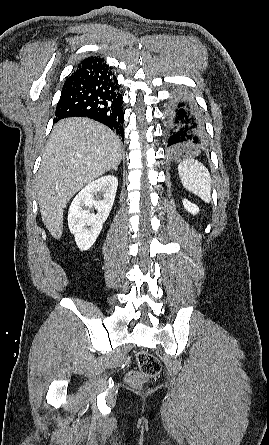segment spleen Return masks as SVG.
<instances>
[{
	"label": "spleen",
	"mask_w": 269,
	"mask_h": 445,
	"mask_svg": "<svg viewBox=\"0 0 269 445\" xmlns=\"http://www.w3.org/2000/svg\"><path fill=\"white\" fill-rule=\"evenodd\" d=\"M181 182L189 192L199 196L204 202L211 201V176L208 169L200 162L187 159L178 166Z\"/></svg>",
	"instance_id": "obj_1"
}]
</instances>
